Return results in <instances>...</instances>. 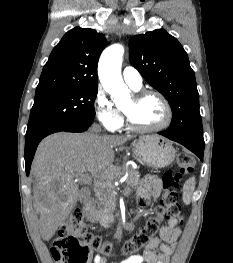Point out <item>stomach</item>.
Returning a JSON list of instances; mask_svg holds the SVG:
<instances>
[{
  "mask_svg": "<svg viewBox=\"0 0 233 263\" xmlns=\"http://www.w3.org/2000/svg\"><path fill=\"white\" fill-rule=\"evenodd\" d=\"M175 153L173 146L160 136H140L133 143L134 156L144 165L153 168L170 165L175 158Z\"/></svg>",
  "mask_w": 233,
  "mask_h": 263,
  "instance_id": "obj_1",
  "label": "stomach"
}]
</instances>
